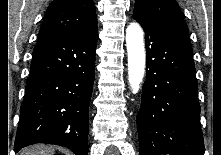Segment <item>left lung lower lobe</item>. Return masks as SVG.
Returning <instances> with one entry per match:
<instances>
[{"label": "left lung lower lobe", "mask_w": 221, "mask_h": 155, "mask_svg": "<svg viewBox=\"0 0 221 155\" xmlns=\"http://www.w3.org/2000/svg\"><path fill=\"white\" fill-rule=\"evenodd\" d=\"M145 32L147 68L137 115L140 155H204L189 36L134 11Z\"/></svg>", "instance_id": "0a47b994"}]
</instances>
